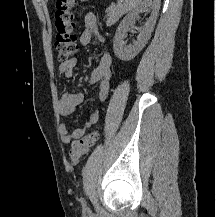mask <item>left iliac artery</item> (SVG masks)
<instances>
[{
    "mask_svg": "<svg viewBox=\"0 0 216 217\" xmlns=\"http://www.w3.org/2000/svg\"><path fill=\"white\" fill-rule=\"evenodd\" d=\"M81 203H82V205H83L84 207H86V202H85V199H84V198L81 199Z\"/></svg>",
    "mask_w": 216,
    "mask_h": 217,
    "instance_id": "obj_1",
    "label": "left iliac artery"
}]
</instances>
